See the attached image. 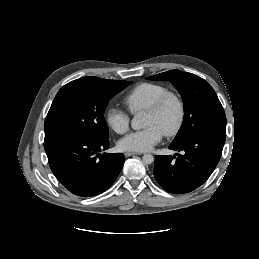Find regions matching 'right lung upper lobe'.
Here are the masks:
<instances>
[{"mask_svg": "<svg viewBox=\"0 0 259 259\" xmlns=\"http://www.w3.org/2000/svg\"><path fill=\"white\" fill-rule=\"evenodd\" d=\"M86 78H90V79L95 80V81L100 82V83H106L108 81V79H102V78L93 77V76L86 77Z\"/></svg>", "mask_w": 259, "mask_h": 259, "instance_id": "right-lung-upper-lobe-1", "label": "right lung upper lobe"}]
</instances>
